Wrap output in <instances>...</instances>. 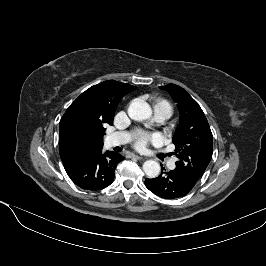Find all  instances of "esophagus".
Instances as JSON below:
<instances>
[{"label":"esophagus","mask_w":266,"mask_h":266,"mask_svg":"<svg viewBox=\"0 0 266 266\" xmlns=\"http://www.w3.org/2000/svg\"><path fill=\"white\" fill-rule=\"evenodd\" d=\"M130 157H132V158H136V159H138V160L143 159V157H141V156H139V155H136V154H131Z\"/></svg>","instance_id":"1"}]
</instances>
